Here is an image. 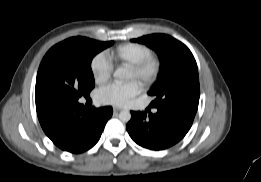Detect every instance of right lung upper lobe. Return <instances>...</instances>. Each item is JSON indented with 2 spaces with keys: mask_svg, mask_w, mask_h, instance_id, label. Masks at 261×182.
<instances>
[{
  "mask_svg": "<svg viewBox=\"0 0 261 182\" xmlns=\"http://www.w3.org/2000/svg\"><path fill=\"white\" fill-rule=\"evenodd\" d=\"M43 106H40V105H36V109L38 110V109H40V108H42Z\"/></svg>",
  "mask_w": 261,
  "mask_h": 182,
  "instance_id": "right-lung-upper-lobe-1",
  "label": "right lung upper lobe"
}]
</instances>
